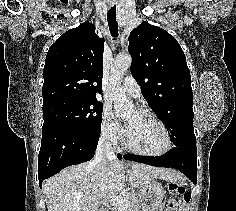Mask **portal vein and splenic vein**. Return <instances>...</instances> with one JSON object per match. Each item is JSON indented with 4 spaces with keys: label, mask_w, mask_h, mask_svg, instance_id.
<instances>
[{
    "label": "portal vein and splenic vein",
    "mask_w": 236,
    "mask_h": 211,
    "mask_svg": "<svg viewBox=\"0 0 236 211\" xmlns=\"http://www.w3.org/2000/svg\"><path fill=\"white\" fill-rule=\"evenodd\" d=\"M95 199H96V197H93V200H95ZM106 200H110V202H112L121 211L127 209L130 205L129 201H124L121 197L116 196V195H108L106 197Z\"/></svg>",
    "instance_id": "obj_1"
}]
</instances>
